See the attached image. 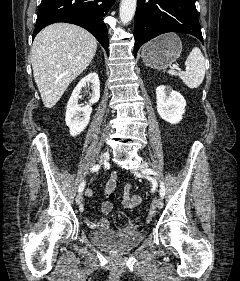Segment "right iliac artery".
Returning <instances> with one entry per match:
<instances>
[{"label":"right iliac artery","instance_id":"1","mask_svg":"<svg viewBox=\"0 0 240 281\" xmlns=\"http://www.w3.org/2000/svg\"><path fill=\"white\" fill-rule=\"evenodd\" d=\"M99 169H100V165H94V166L92 167L91 171H92V172H96V171H98ZM84 188H85V181H83V182L80 184L79 189H78L79 193L82 192V191L84 190Z\"/></svg>","mask_w":240,"mask_h":281}]
</instances>
